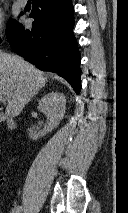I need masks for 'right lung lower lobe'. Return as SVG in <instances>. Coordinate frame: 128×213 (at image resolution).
<instances>
[{
	"label": "right lung lower lobe",
	"mask_w": 128,
	"mask_h": 213,
	"mask_svg": "<svg viewBox=\"0 0 128 213\" xmlns=\"http://www.w3.org/2000/svg\"><path fill=\"white\" fill-rule=\"evenodd\" d=\"M32 29L19 23L7 36L13 51L43 70L57 72L81 90L80 53L73 34L72 0H33Z\"/></svg>",
	"instance_id": "98d812e1"
}]
</instances>
